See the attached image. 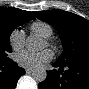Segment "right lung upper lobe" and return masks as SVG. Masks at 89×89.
Listing matches in <instances>:
<instances>
[{
	"label": "right lung upper lobe",
	"mask_w": 89,
	"mask_h": 89,
	"mask_svg": "<svg viewBox=\"0 0 89 89\" xmlns=\"http://www.w3.org/2000/svg\"><path fill=\"white\" fill-rule=\"evenodd\" d=\"M33 13L29 11L20 10L17 8L0 7V20L6 19L14 24L21 25L30 20H34L35 17L33 16Z\"/></svg>",
	"instance_id": "1"
}]
</instances>
